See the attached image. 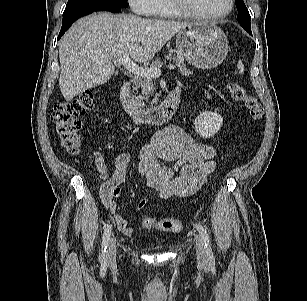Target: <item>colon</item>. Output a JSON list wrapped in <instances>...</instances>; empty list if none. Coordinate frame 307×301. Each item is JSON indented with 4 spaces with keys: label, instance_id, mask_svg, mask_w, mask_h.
Masks as SVG:
<instances>
[{
    "label": "colon",
    "instance_id": "obj_1",
    "mask_svg": "<svg viewBox=\"0 0 307 301\" xmlns=\"http://www.w3.org/2000/svg\"><path fill=\"white\" fill-rule=\"evenodd\" d=\"M227 89L231 97L243 104L249 111L252 120L260 121L263 108L256 97L249 95L245 88L236 81H230ZM94 95L91 91H84L69 101L58 103L52 114V121L68 153L77 155L81 152V121L79 117L93 107ZM145 229H157L163 232L178 233L182 230L179 219L156 220L145 217L142 221Z\"/></svg>",
    "mask_w": 307,
    "mask_h": 301
}]
</instances>
